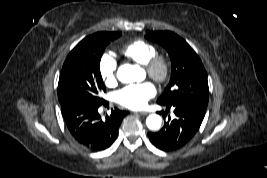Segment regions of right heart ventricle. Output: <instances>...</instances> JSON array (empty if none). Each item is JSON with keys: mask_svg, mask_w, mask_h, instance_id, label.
<instances>
[{"mask_svg": "<svg viewBox=\"0 0 267 178\" xmlns=\"http://www.w3.org/2000/svg\"><path fill=\"white\" fill-rule=\"evenodd\" d=\"M122 53L134 62L143 65L156 54V48L147 41L137 39L126 45Z\"/></svg>", "mask_w": 267, "mask_h": 178, "instance_id": "e07e8e85", "label": "right heart ventricle"}]
</instances>
